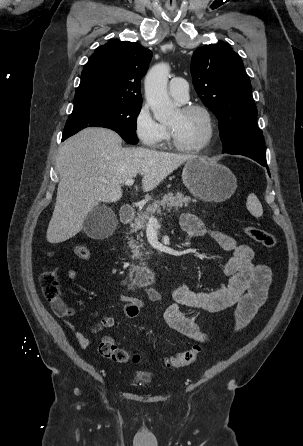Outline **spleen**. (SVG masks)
<instances>
[{
    "mask_svg": "<svg viewBox=\"0 0 303 446\" xmlns=\"http://www.w3.org/2000/svg\"><path fill=\"white\" fill-rule=\"evenodd\" d=\"M247 209L254 217H261L263 215V208L258 200L257 196L254 193L249 194L247 197L246 203Z\"/></svg>",
    "mask_w": 303,
    "mask_h": 446,
    "instance_id": "3e777b00",
    "label": "spleen"
}]
</instances>
